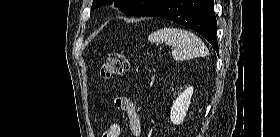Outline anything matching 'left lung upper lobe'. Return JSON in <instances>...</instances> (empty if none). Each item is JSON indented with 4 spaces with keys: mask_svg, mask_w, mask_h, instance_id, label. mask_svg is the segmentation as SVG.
Instances as JSON below:
<instances>
[{
    "mask_svg": "<svg viewBox=\"0 0 280 137\" xmlns=\"http://www.w3.org/2000/svg\"><path fill=\"white\" fill-rule=\"evenodd\" d=\"M160 1L161 0H93L91 9L114 2V5L124 12L127 17L142 16Z\"/></svg>",
    "mask_w": 280,
    "mask_h": 137,
    "instance_id": "1",
    "label": "left lung upper lobe"
}]
</instances>
